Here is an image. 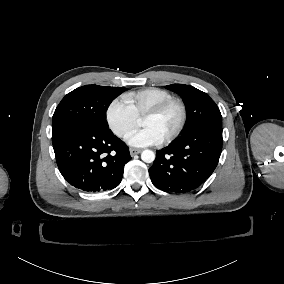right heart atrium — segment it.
Masks as SVG:
<instances>
[{"instance_id":"1","label":"right heart atrium","mask_w":284,"mask_h":284,"mask_svg":"<svg viewBox=\"0 0 284 284\" xmlns=\"http://www.w3.org/2000/svg\"><path fill=\"white\" fill-rule=\"evenodd\" d=\"M105 121L111 133L123 139L136 126L138 116L122 98H114L106 107Z\"/></svg>"}]
</instances>
